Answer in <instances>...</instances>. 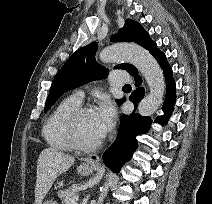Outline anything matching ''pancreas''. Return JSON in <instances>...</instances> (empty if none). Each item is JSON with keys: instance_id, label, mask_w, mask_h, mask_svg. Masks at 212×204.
I'll return each mask as SVG.
<instances>
[{"instance_id": "cf45deb5", "label": "pancreas", "mask_w": 212, "mask_h": 204, "mask_svg": "<svg viewBox=\"0 0 212 204\" xmlns=\"http://www.w3.org/2000/svg\"><path fill=\"white\" fill-rule=\"evenodd\" d=\"M78 188L76 185H73L65 190L58 192V197L62 200V204H66L67 200L73 197H77Z\"/></svg>"}]
</instances>
